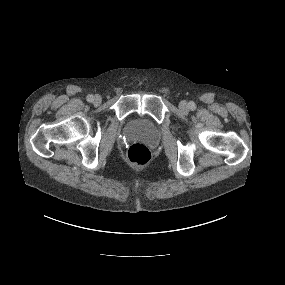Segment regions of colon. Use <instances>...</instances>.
<instances>
[{"label": "colon", "instance_id": "obj_1", "mask_svg": "<svg viewBox=\"0 0 285 285\" xmlns=\"http://www.w3.org/2000/svg\"><path fill=\"white\" fill-rule=\"evenodd\" d=\"M151 157V152L147 146L141 143L132 144L127 152V161L133 166L145 165Z\"/></svg>", "mask_w": 285, "mask_h": 285}]
</instances>
